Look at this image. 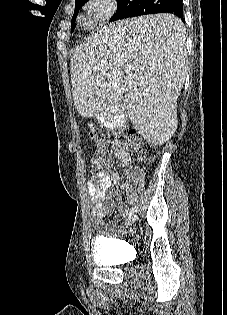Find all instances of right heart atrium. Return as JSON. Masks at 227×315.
<instances>
[{"label": "right heart atrium", "mask_w": 227, "mask_h": 315, "mask_svg": "<svg viewBox=\"0 0 227 315\" xmlns=\"http://www.w3.org/2000/svg\"><path fill=\"white\" fill-rule=\"evenodd\" d=\"M116 6V0H88L86 2L91 19L97 26L106 23L114 15Z\"/></svg>", "instance_id": "right-heart-atrium-1"}]
</instances>
